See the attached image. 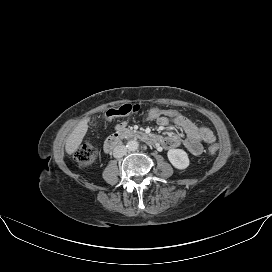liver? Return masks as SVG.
I'll return each instance as SVG.
<instances>
[{
    "label": "liver",
    "mask_w": 272,
    "mask_h": 272,
    "mask_svg": "<svg viewBox=\"0 0 272 272\" xmlns=\"http://www.w3.org/2000/svg\"><path fill=\"white\" fill-rule=\"evenodd\" d=\"M88 121L89 118L81 120L78 123V125L74 128V130L69 134L65 145V150L67 154L69 155L73 154L80 146L88 130Z\"/></svg>",
    "instance_id": "liver-1"
}]
</instances>
